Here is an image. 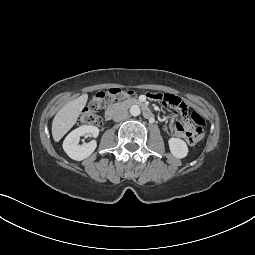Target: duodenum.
Masks as SVG:
<instances>
[{"label": "duodenum", "mask_w": 255, "mask_h": 255, "mask_svg": "<svg viewBox=\"0 0 255 255\" xmlns=\"http://www.w3.org/2000/svg\"><path fill=\"white\" fill-rule=\"evenodd\" d=\"M132 106L140 107L143 111L144 116L149 120H153L154 115L151 109L142 100L134 97H129L123 101L115 102L109 105L105 111V118L107 120H110L118 111Z\"/></svg>", "instance_id": "duodenum-1"}]
</instances>
